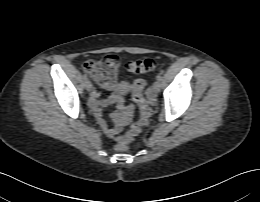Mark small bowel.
Wrapping results in <instances>:
<instances>
[{"label": "small bowel", "mask_w": 260, "mask_h": 202, "mask_svg": "<svg viewBox=\"0 0 260 202\" xmlns=\"http://www.w3.org/2000/svg\"><path fill=\"white\" fill-rule=\"evenodd\" d=\"M100 85L103 89L109 91L110 95L106 99L100 100L99 92L96 90L93 91L89 100V107L104 134L111 139H115L131 122L135 112V106L126 102L115 80ZM111 104H116V110L111 116L112 124L109 125L103 117V109Z\"/></svg>", "instance_id": "obj_1"}]
</instances>
